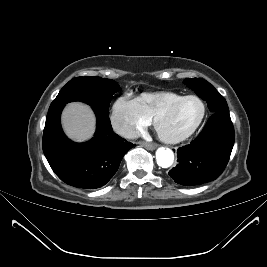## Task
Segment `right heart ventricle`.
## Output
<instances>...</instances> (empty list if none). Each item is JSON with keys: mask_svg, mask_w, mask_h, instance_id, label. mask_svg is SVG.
<instances>
[{"mask_svg": "<svg viewBox=\"0 0 267 267\" xmlns=\"http://www.w3.org/2000/svg\"><path fill=\"white\" fill-rule=\"evenodd\" d=\"M183 97L184 95L176 92L163 91L155 93H143L137 99L141 110L151 121L159 112Z\"/></svg>", "mask_w": 267, "mask_h": 267, "instance_id": "obj_1", "label": "right heart ventricle"}]
</instances>
